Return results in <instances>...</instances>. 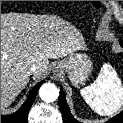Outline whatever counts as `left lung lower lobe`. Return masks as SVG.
<instances>
[{
  "label": "left lung lower lobe",
  "instance_id": "left-lung-lower-lobe-1",
  "mask_svg": "<svg viewBox=\"0 0 123 123\" xmlns=\"http://www.w3.org/2000/svg\"><path fill=\"white\" fill-rule=\"evenodd\" d=\"M120 45L123 47V41H120ZM59 106L63 115L64 123H80L72 116L70 109L66 103L65 93L62 89L60 90V95H59ZM106 123H123V111L117 116L107 121Z\"/></svg>",
  "mask_w": 123,
  "mask_h": 123
}]
</instances>
